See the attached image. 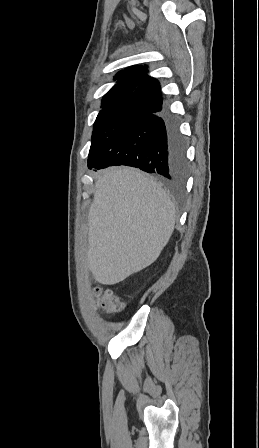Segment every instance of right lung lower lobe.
<instances>
[{"label":"right lung lower lobe","instance_id":"right-lung-lower-lobe-1","mask_svg":"<svg viewBox=\"0 0 259 448\" xmlns=\"http://www.w3.org/2000/svg\"><path fill=\"white\" fill-rule=\"evenodd\" d=\"M185 142L175 117L164 107L132 121L90 169L127 165L179 185L186 172Z\"/></svg>","mask_w":259,"mask_h":448}]
</instances>
